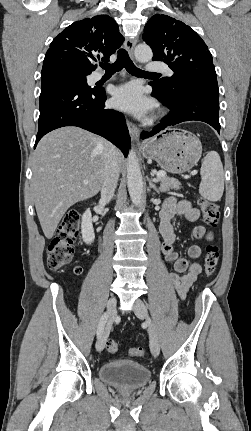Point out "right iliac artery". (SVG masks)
<instances>
[{
  "instance_id": "right-iliac-artery-1",
  "label": "right iliac artery",
  "mask_w": 251,
  "mask_h": 431,
  "mask_svg": "<svg viewBox=\"0 0 251 431\" xmlns=\"http://www.w3.org/2000/svg\"><path fill=\"white\" fill-rule=\"evenodd\" d=\"M107 319H108V314L104 313L102 315L100 321H99V324H98V328H97V336L98 337L103 333V330H104L105 324L107 322Z\"/></svg>"
}]
</instances>
